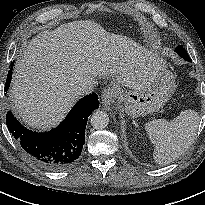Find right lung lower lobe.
Here are the masks:
<instances>
[{"mask_svg":"<svg viewBox=\"0 0 205 205\" xmlns=\"http://www.w3.org/2000/svg\"><path fill=\"white\" fill-rule=\"evenodd\" d=\"M12 69L8 72V78L12 77ZM98 107V96L95 93L87 95L77 102L58 127L45 133L25 129L10 111L6 115V124L22 149L37 165L47 170L60 171L71 167L79 158L85 142L88 116Z\"/></svg>","mask_w":205,"mask_h":205,"instance_id":"obj_1","label":"right lung lower lobe"}]
</instances>
